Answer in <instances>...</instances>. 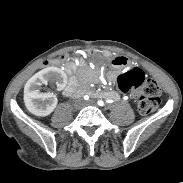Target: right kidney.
<instances>
[{
	"label": "right kidney",
	"instance_id": "1",
	"mask_svg": "<svg viewBox=\"0 0 183 183\" xmlns=\"http://www.w3.org/2000/svg\"><path fill=\"white\" fill-rule=\"evenodd\" d=\"M54 82L59 90L67 83L66 74L57 67H47L32 76L24 87V102L29 112L45 117L51 114L57 106V97L53 93L41 92V86Z\"/></svg>",
	"mask_w": 183,
	"mask_h": 183
}]
</instances>
